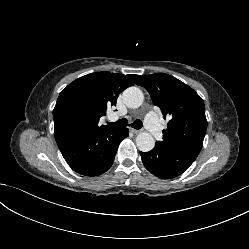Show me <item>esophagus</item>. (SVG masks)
<instances>
[{"label":"esophagus","instance_id":"34e87169","mask_svg":"<svg viewBox=\"0 0 249 249\" xmlns=\"http://www.w3.org/2000/svg\"><path fill=\"white\" fill-rule=\"evenodd\" d=\"M131 131L134 133V134H139L142 132V130H136V129H133L131 128Z\"/></svg>","mask_w":249,"mask_h":249}]
</instances>
